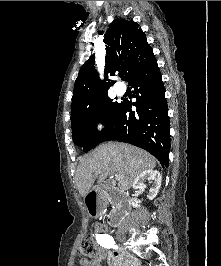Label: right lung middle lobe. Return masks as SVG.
I'll use <instances>...</instances> for the list:
<instances>
[{
    "mask_svg": "<svg viewBox=\"0 0 221 266\" xmlns=\"http://www.w3.org/2000/svg\"><path fill=\"white\" fill-rule=\"evenodd\" d=\"M121 104L114 102L105 94L97 100L91 110L71 118L74 143L83 147L85 152L97 146L103 135L113 126ZM97 122L105 125L102 132L96 129Z\"/></svg>",
    "mask_w": 221,
    "mask_h": 266,
    "instance_id": "obj_1",
    "label": "right lung middle lobe"
}]
</instances>
